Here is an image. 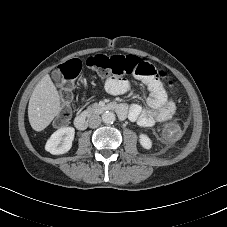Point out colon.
<instances>
[{"label": "colon", "mask_w": 227, "mask_h": 227, "mask_svg": "<svg viewBox=\"0 0 227 227\" xmlns=\"http://www.w3.org/2000/svg\"><path fill=\"white\" fill-rule=\"evenodd\" d=\"M86 65L93 71L102 75H125L137 74L144 78H160L164 76L162 70L157 69L152 64L142 61L136 56L113 55L106 56L97 54L86 59ZM82 69V62L79 59H72L60 67V75L62 78L60 94L66 108L55 120L56 127H63L71 118L72 111L68 107L75 90L74 80ZM173 86V82H169ZM184 131V129L182 130Z\"/></svg>", "instance_id": "5ec220e1"}]
</instances>
